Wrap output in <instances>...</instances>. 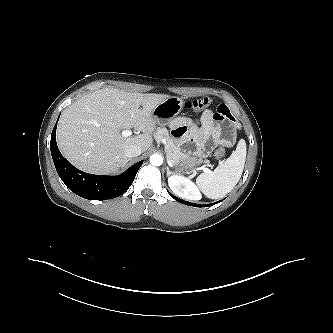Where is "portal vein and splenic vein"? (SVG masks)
<instances>
[{
	"label": "portal vein and splenic vein",
	"instance_id": "portal-vein-and-splenic-vein-1",
	"mask_svg": "<svg viewBox=\"0 0 333 333\" xmlns=\"http://www.w3.org/2000/svg\"><path fill=\"white\" fill-rule=\"evenodd\" d=\"M121 134H122L123 137H129V136L132 135V131H130V130H124V131H122ZM200 169L203 170L206 173L210 172V170L208 168H206L205 166L200 167Z\"/></svg>",
	"mask_w": 333,
	"mask_h": 333
}]
</instances>
